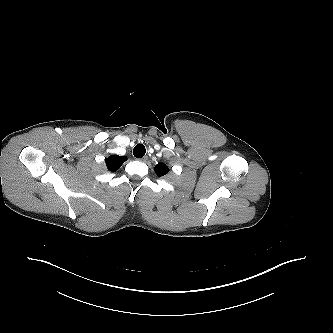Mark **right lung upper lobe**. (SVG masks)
Wrapping results in <instances>:
<instances>
[{
    "label": "right lung upper lobe",
    "instance_id": "obj_1",
    "mask_svg": "<svg viewBox=\"0 0 333 333\" xmlns=\"http://www.w3.org/2000/svg\"><path fill=\"white\" fill-rule=\"evenodd\" d=\"M126 160V156L112 155L105 162L109 171L116 172Z\"/></svg>",
    "mask_w": 333,
    "mask_h": 333
}]
</instances>
